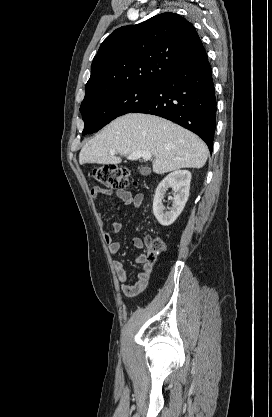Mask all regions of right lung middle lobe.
<instances>
[{
  "label": "right lung middle lobe",
  "mask_w": 272,
  "mask_h": 417,
  "mask_svg": "<svg viewBox=\"0 0 272 417\" xmlns=\"http://www.w3.org/2000/svg\"><path fill=\"white\" fill-rule=\"evenodd\" d=\"M156 89L157 84L139 85L83 101L80 107L85 123L82 134L94 133L113 119L132 112L148 101Z\"/></svg>",
  "instance_id": "1"
}]
</instances>
